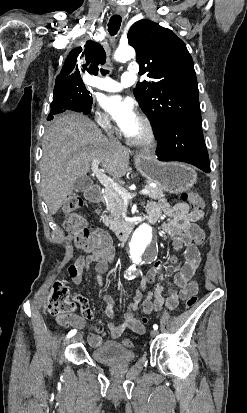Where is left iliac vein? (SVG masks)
Listing matches in <instances>:
<instances>
[{"label": "left iliac vein", "instance_id": "obj_1", "mask_svg": "<svg viewBox=\"0 0 247 413\" xmlns=\"http://www.w3.org/2000/svg\"><path fill=\"white\" fill-rule=\"evenodd\" d=\"M158 335V331L157 330H152L151 332H150V336L151 337H155V336H157Z\"/></svg>", "mask_w": 247, "mask_h": 413}]
</instances>
